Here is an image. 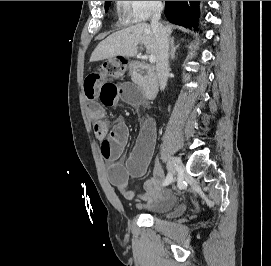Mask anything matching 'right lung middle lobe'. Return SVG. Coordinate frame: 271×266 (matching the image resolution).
Returning <instances> with one entry per match:
<instances>
[{"label":"right lung middle lobe","mask_w":271,"mask_h":266,"mask_svg":"<svg viewBox=\"0 0 271 266\" xmlns=\"http://www.w3.org/2000/svg\"><path fill=\"white\" fill-rule=\"evenodd\" d=\"M111 1H105V11L108 10Z\"/></svg>","instance_id":"dd1d6c3e"}]
</instances>
